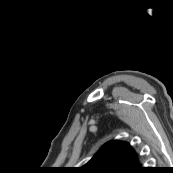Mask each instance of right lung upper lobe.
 Wrapping results in <instances>:
<instances>
[{"instance_id":"1","label":"right lung upper lobe","mask_w":173,"mask_h":173,"mask_svg":"<svg viewBox=\"0 0 173 173\" xmlns=\"http://www.w3.org/2000/svg\"><path fill=\"white\" fill-rule=\"evenodd\" d=\"M138 164L132 147L122 141L106 143L83 167L81 173H127Z\"/></svg>"}]
</instances>
